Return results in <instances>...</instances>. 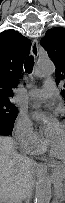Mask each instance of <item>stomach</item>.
I'll list each match as a JSON object with an SVG mask.
<instances>
[{
    "label": "stomach",
    "mask_w": 65,
    "mask_h": 203,
    "mask_svg": "<svg viewBox=\"0 0 65 203\" xmlns=\"http://www.w3.org/2000/svg\"><path fill=\"white\" fill-rule=\"evenodd\" d=\"M53 177L55 180V194L60 198L59 203L65 201V166L54 165L52 166Z\"/></svg>",
    "instance_id": "stomach-1"
}]
</instances>
